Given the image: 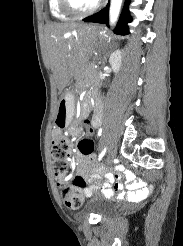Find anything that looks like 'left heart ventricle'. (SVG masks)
Segmentation results:
<instances>
[{
	"mask_svg": "<svg viewBox=\"0 0 183 246\" xmlns=\"http://www.w3.org/2000/svg\"><path fill=\"white\" fill-rule=\"evenodd\" d=\"M72 1L78 9L85 10L91 7L97 0H72Z\"/></svg>",
	"mask_w": 183,
	"mask_h": 246,
	"instance_id": "obj_1",
	"label": "left heart ventricle"
}]
</instances>
